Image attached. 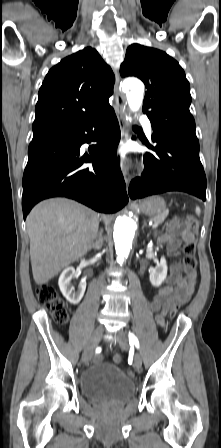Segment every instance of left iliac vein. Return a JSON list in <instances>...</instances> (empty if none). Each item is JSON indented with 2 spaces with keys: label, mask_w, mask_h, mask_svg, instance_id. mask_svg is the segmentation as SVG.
Wrapping results in <instances>:
<instances>
[{
  "label": "left iliac vein",
  "mask_w": 221,
  "mask_h": 448,
  "mask_svg": "<svg viewBox=\"0 0 221 448\" xmlns=\"http://www.w3.org/2000/svg\"><path fill=\"white\" fill-rule=\"evenodd\" d=\"M117 341H118L120 347L123 350H127L128 349V347H129L128 339H127V336H126V334L124 333L123 330H120L118 332V334H117ZM133 362H134V366L137 369L141 368V366H142V357H141V355L139 353H135L134 358H133Z\"/></svg>",
  "instance_id": "obj_1"
}]
</instances>
